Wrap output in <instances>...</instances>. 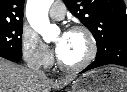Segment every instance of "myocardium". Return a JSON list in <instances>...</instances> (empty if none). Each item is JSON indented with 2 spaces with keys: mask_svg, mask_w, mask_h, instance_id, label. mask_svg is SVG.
I'll list each match as a JSON object with an SVG mask.
<instances>
[{
  "mask_svg": "<svg viewBox=\"0 0 127 92\" xmlns=\"http://www.w3.org/2000/svg\"><path fill=\"white\" fill-rule=\"evenodd\" d=\"M80 32L83 33L88 41L89 49L86 57L79 63L74 65H69L64 63L59 57H57V64L60 69L66 72L75 73L87 68L96 58L98 52V45L96 38L92 31L83 25H74L69 30L68 33Z\"/></svg>",
  "mask_w": 127,
  "mask_h": 92,
  "instance_id": "1",
  "label": "myocardium"
}]
</instances>
